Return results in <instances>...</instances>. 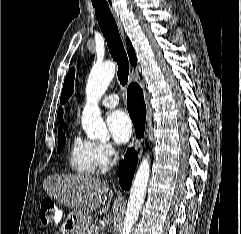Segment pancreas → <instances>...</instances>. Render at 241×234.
Listing matches in <instances>:
<instances>
[{
    "label": "pancreas",
    "instance_id": "1",
    "mask_svg": "<svg viewBox=\"0 0 241 234\" xmlns=\"http://www.w3.org/2000/svg\"><path fill=\"white\" fill-rule=\"evenodd\" d=\"M83 234H98L97 232V227L95 226H90L85 229V232Z\"/></svg>",
    "mask_w": 241,
    "mask_h": 234
}]
</instances>
